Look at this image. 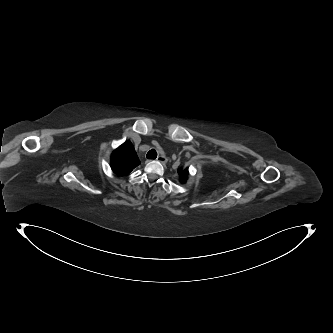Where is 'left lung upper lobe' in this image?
I'll return each mask as SVG.
<instances>
[{
  "label": "left lung upper lobe",
  "mask_w": 333,
  "mask_h": 333,
  "mask_svg": "<svg viewBox=\"0 0 333 333\" xmlns=\"http://www.w3.org/2000/svg\"><path fill=\"white\" fill-rule=\"evenodd\" d=\"M188 169L181 170L179 174V178L181 181H185L186 177L188 176Z\"/></svg>",
  "instance_id": "5c2ea615"
}]
</instances>
